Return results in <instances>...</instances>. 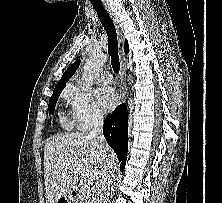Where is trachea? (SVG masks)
Listing matches in <instances>:
<instances>
[{
    "mask_svg": "<svg viewBox=\"0 0 222 203\" xmlns=\"http://www.w3.org/2000/svg\"><path fill=\"white\" fill-rule=\"evenodd\" d=\"M101 23L104 27L107 36H108V52L111 56V65L115 73H119L120 70V62L118 57V42H117V33L114 26V23L105 10L103 5H95L92 4Z\"/></svg>",
    "mask_w": 222,
    "mask_h": 203,
    "instance_id": "obj_1",
    "label": "trachea"
}]
</instances>
